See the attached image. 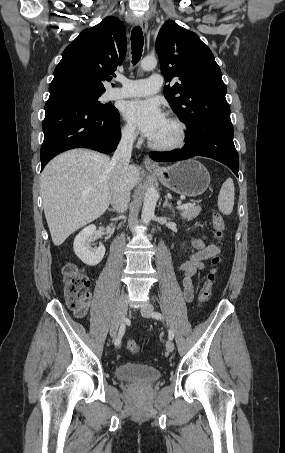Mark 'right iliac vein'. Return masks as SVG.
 I'll return each mask as SVG.
<instances>
[{
    "mask_svg": "<svg viewBox=\"0 0 285 453\" xmlns=\"http://www.w3.org/2000/svg\"><path fill=\"white\" fill-rule=\"evenodd\" d=\"M127 312V299L126 294L122 293L117 301L114 316L110 326V336L114 338L117 334L118 328L125 318Z\"/></svg>",
    "mask_w": 285,
    "mask_h": 453,
    "instance_id": "1",
    "label": "right iliac vein"
}]
</instances>
